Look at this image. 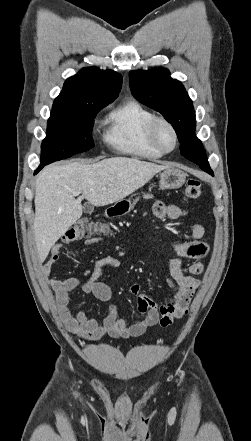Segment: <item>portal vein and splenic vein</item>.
Wrapping results in <instances>:
<instances>
[{
	"label": "portal vein and splenic vein",
	"mask_w": 251,
	"mask_h": 441,
	"mask_svg": "<svg viewBox=\"0 0 251 441\" xmlns=\"http://www.w3.org/2000/svg\"><path fill=\"white\" fill-rule=\"evenodd\" d=\"M102 189L105 190L106 187H103ZM79 194H80V192H73V196H78Z\"/></svg>",
	"instance_id": "obj_1"
}]
</instances>
